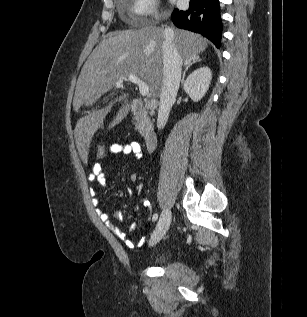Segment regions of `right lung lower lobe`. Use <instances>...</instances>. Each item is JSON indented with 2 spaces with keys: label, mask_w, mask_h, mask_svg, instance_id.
<instances>
[{
  "label": "right lung lower lobe",
  "mask_w": 307,
  "mask_h": 317,
  "mask_svg": "<svg viewBox=\"0 0 307 317\" xmlns=\"http://www.w3.org/2000/svg\"><path fill=\"white\" fill-rule=\"evenodd\" d=\"M171 19L178 28L200 33L220 47L222 22L219 0H190L189 9H175Z\"/></svg>",
  "instance_id": "1"
}]
</instances>
